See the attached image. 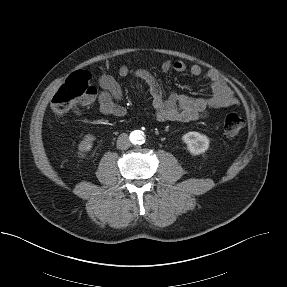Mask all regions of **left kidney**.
<instances>
[{
	"label": "left kidney",
	"instance_id": "5707ae66",
	"mask_svg": "<svg viewBox=\"0 0 287 287\" xmlns=\"http://www.w3.org/2000/svg\"><path fill=\"white\" fill-rule=\"evenodd\" d=\"M182 140L193 155L205 153L209 148V138L199 132H188L182 136Z\"/></svg>",
	"mask_w": 287,
	"mask_h": 287
}]
</instances>
